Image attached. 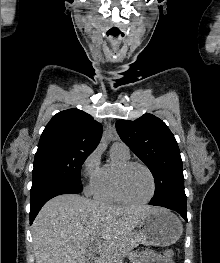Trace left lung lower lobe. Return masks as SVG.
<instances>
[{
  "mask_svg": "<svg viewBox=\"0 0 220 263\" xmlns=\"http://www.w3.org/2000/svg\"><path fill=\"white\" fill-rule=\"evenodd\" d=\"M150 205H155V206H162L171 210H174L176 212H178L186 221H187V208L185 207H177L174 205H170V204H164V203H153L150 202Z\"/></svg>",
  "mask_w": 220,
  "mask_h": 263,
  "instance_id": "0a47b994",
  "label": "left lung lower lobe"
}]
</instances>
